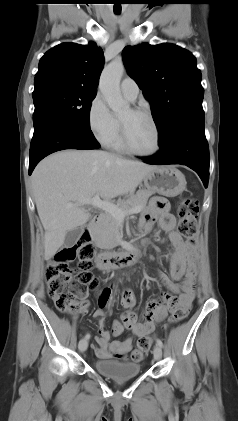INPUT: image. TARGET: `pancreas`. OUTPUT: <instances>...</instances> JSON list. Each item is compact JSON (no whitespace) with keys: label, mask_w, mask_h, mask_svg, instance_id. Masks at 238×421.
I'll return each mask as SVG.
<instances>
[{"label":"pancreas","mask_w":238,"mask_h":421,"mask_svg":"<svg viewBox=\"0 0 238 421\" xmlns=\"http://www.w3.org/2000/svg\"><path fill=\"white\" fill-rule=\"evenodd\" d=\"M153 191L142 189L127 199L120 201L117 206L120 209H129L138 207L141 210L146 207L149 197ZM119 235V220L106 212L101 220L92 230V238L96 246L101 249H113L117 246V236Z\"/></svg>","instance_id":"obj_1"}]
</instances>
